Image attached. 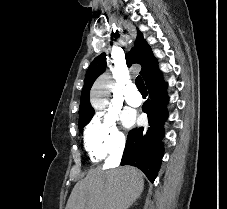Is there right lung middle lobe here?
Segmentation results:
<instances>
[{
  "mask_svg": "<svg viewBox=\"0 0 227 209\" xmlns=\"http://www.w3.org/2000/svg\"><path fill=\"white\" fill-rule=\"evenodd\" d=\"M91 118L92 116L79 118V129L81 132L83 131V128L90 122Z\"/></svg>",
  "mask_w": 227,
  "mask_h": 209,
  "instance_id": "1",
  "label": "right lung middle lobe"
}]
</instances>
